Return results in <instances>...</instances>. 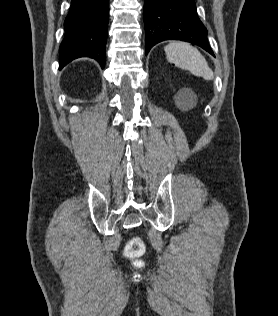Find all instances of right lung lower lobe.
<instances>
[{
  "label": "right lung lower lobe",
  "instance_id": "right-lung-lower-lobe-1",
  "mask_svg": "<svg viewBox=\"0 0 278 316\" xmlns=\"http://www.w3.org/2000/svg\"><path fill=\"white\" fill-rule=\"evenodd\" d=\"M108 13V0H72L64 22L60 69L79 57L93 58L104 67Z\"/></svg>",
  "mask_w": 278,
  "mask_h": 316
}]
</instances>
